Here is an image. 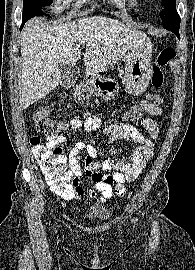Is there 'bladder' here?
I'll return each instance as SVG.
<instances>
[{"instance_id":"31cf9c89","label":"bladder","mask_w":195,"mask_h":270,"mask_svg":"<svg viewBox=\"0 0 195 270\" xmlns=\"http://www.w3.org/2000/svg\"><path fill=\"white\" fill-rule=\"evenodd\" d=\"M111 216L112 212L108 208H91L85 214V221L88 223H102L108 221Z\"/></svg>"}]
</instances>
